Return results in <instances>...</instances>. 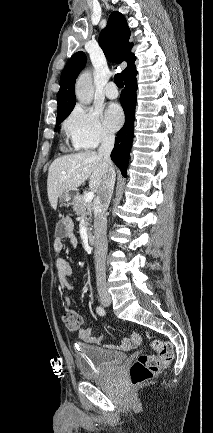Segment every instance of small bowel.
Returning a JSON list of instances; mask_svg holds the SVG:
<instances>
[{
  "instance_id": "obj_1",
  "label": "small bowel",
  "mask_w": 213,
  "mask_h": 433,
  "mask_svg": "<svg viewBox=\"0 0 213 433\" xmlns=\"http://www.w3.org/2000/svg\"><path fill=\"white\" fill-rule=\"evenodd\" d=\"M74 225L73 221L70 218H63L60 220L55 229V238L53 242V248L55 253L57 254L56 258V269L58 273V281L60 288L64 291L63 305L66 311H72L71 309V300L68 294L65 292L72 290L73 285L71 282L72 277V266L70 262L61 257L59 254L63 250L64 247V239H68L73 246L77 245V239L73 232ZM78 337L87 343H96L99 344L102 341V337H95L92 335V328L85 327L78 331ZM141 342V338L138 333L134 332L131 336L125 339L118 348L122 350H129L135 346H138Z\"/></svg>"
}]
</instances>
